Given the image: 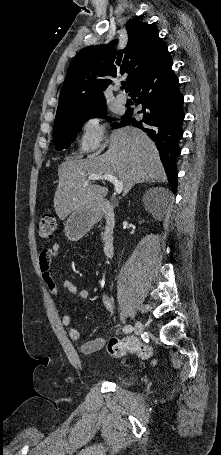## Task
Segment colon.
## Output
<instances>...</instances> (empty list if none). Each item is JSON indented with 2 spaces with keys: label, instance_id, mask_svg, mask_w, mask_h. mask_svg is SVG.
<instances>
[{
  "label": "colon",
  "instance_id": "1",
  "mask_svg": "<svg viewBox=\"0 0 221 455\" xmlns=\"http://www.w3.org/2000/svg\"><path fill=\"white\" fill-rule=\"evenodd\" d=\"M57 231V218L55 213H45L38 223V233L44 239H51ZM108 352L115 358H123L127 354H136L142 359L152 355L151 348L134 337L111 338L108 342Z\"/></svg>",
  "mask_w": 221,
  "mask_h": 455
}]
</instances>
